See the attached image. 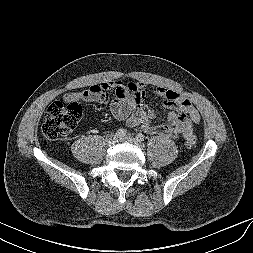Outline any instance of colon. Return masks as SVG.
<instances>
[{
    "instance_id": "obj_1",
    "label": "colon",
    "mask_w": 253,
    "mask_h": 253,
    "mask_svg": "<svg viewBox=\"0 0 253 253\" xmlns=\"http://www.w3.org/2000/svg\"><path fill=\"white\" fill-rule=\"evenodd\" d=\"M82 115V107L77 101L57 100L45 113L41 128L42 136L47 140H55L70 133L77 125ZM188 148L196 144V138L191 135L185 142Z\"/></svg>"
}]
</instances>
